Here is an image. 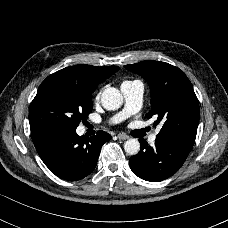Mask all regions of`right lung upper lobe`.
<instances>
[{
  "label": "right lung upper lobe",
  "mask_w": 228,
  "mask_h": 228,
  "mask_svg": "<svg viewBox=\"0 0 228 228\" xmlns=\"http://www.w3.org/2000/svg\"><path fill=\"white\" fill-rule=\"evenodd\" d=\"M118 70V66L98 67L79 64L61 69L52 75L74 79L85 88L94 91L99 83L109 78Z\"/></svg>",
  "instance_id": "cb5924a9"
}]
</instances>
